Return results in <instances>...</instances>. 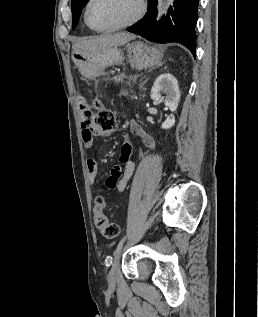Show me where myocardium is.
<instances>
[{"label": "myocardium", "instance_id": "1", "mask_svg": "<svg viewBox=\"0 0 258 317\" xmlns=\"http://www.w3.org/2000/svg\"><path fill=\"white\" fill-rule=\"evenodd\" d=\"M93 1H95V0L88 1L86 8H85V12H84V19H85L86 24L92 30L97 31V32H112V31L131 28L136 23L139 22V20L142 18V16L144 15V12H145V6H144L143 2L141 0H133L138 6V11H137L136 15L129 22L121 24V25L113 26V27H108V28H98L90 22L89 17H88L89 8H90L91 4L93 3Z\"/></svg>", "mask_w": 258, "mask_h": 317}]
</instances>
